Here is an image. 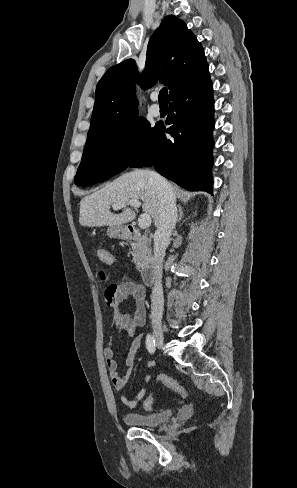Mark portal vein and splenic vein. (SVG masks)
Returning <instances> with one entry per match:
<instances>
[{"instance_id":"18ae733b","label":"portal vein and splenic vein","mask_w":297,"mask_h":488,"mask_svg":"<svg viewBox=\"0 0 297 488\" xmlns=\"http://www.w3.org/2000/svg\"><path fill=\"white\" fill-rule=\"evenodd\" d=\"M127 204L131 205L134 208H139L141 206V202L139 200H136V199L130 200ZM123 206H124V204H121V203L112 205L114 210H118V209L122 208ZM150 224H151V217L149 214H142L139 217L138 225L140 228H142V229L148 228L150 226Z\"/></svg>"}]
</instances>
